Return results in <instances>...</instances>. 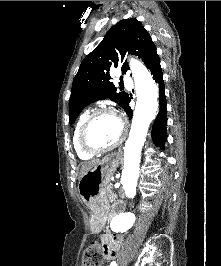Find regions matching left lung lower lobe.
Returning a JSON list of instances; mask_svg holds the SVG:
<instances>
[{"label":"left lung lower lobe","instance_id":"0a47b994","mask_svg":"<svg viewBox=\"0 0 221 266\" xmlns=\"http://www.w3.org/2000/svg\"><path fill=\"white\" fill-rule=\"evenodd\" d=\"M151 74L153 76V79L158 84L159 87V104H160V111L157 115V118L155 119V122L152 126V138L153 142L160 146L162 149L164 148L165 141L167 139V132H166V98H165V88H164V82H163V76L160 66V61L156 63L151 69ZM130 98H128V101L125 105V112L131 119L132 117V110L129 106Z\"/></svg>","mask_w":221,"mask_h":266}]
</instances>
